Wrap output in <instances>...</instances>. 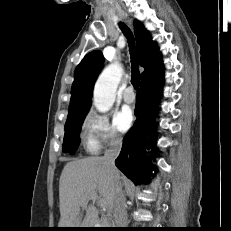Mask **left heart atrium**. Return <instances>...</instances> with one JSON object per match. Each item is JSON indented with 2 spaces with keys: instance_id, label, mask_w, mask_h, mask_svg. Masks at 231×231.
I'll list each match as a JSON object with an SVG mask.
<instances>
[{
  "instance_id": "39dd6f15",
  "label": "left heart atrium",
  "mask_w": 231,
  "mask_h": 231,
  "mask_svg": "<svg viewBox=\"0 0 231 231\" xmlns=\"http://www.w3.org/2000/svg\"><path fill=\"white\" fill-rule=\"evenodd\" d=\"M133 122V114L129 108H123L115 118L116 126L121 131H126L130 128Z\"/></svg>"
}]
</instances>
